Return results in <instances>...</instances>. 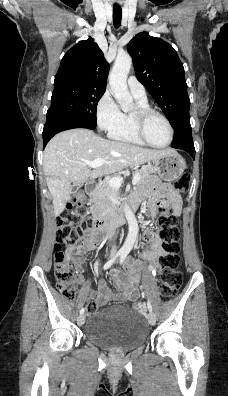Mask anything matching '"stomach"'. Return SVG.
<instances>
[{"mask_svg": "<svg viewBox=\"0 0 228 396\" xmlns=\"http://www.w3.org/2000/svg\"><path fill=\"white\" fill-rule=\"evenodd\" d=\"M156 173L161 179L165 181H173L178 179L186 164L184 159L175 151H170L164 156L153 160V166Z\"/></svg>", "mask_w": 228, "mask_h": 396, "instance_id": "1", "label": "stomach"}]
</instances>
